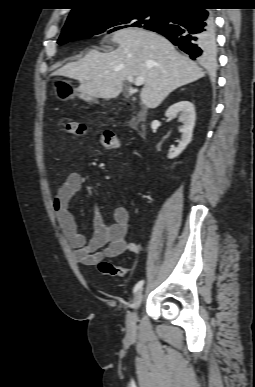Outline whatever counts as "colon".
<instances>
[{"label":"colon","mask_w":255,"mask_h":387,"mask_svg":"<svg viewBox=\"0 0 255 387\" xmlns=\"http://www.w3.org/2000/svg\"><path fill=\"white\" fill-rule=\"evenodd\" d=\"M64 132L80 138H88V131L82 124L71 122L63 126ZM96 141L106 149H117L122 145V138L110 131H106L96 137ZM98 269L103 275L112 277H124L127 269L113 264L110 261L102 260L98 263Z\"/></svg>","instance_id":"1"}]
</instances>
